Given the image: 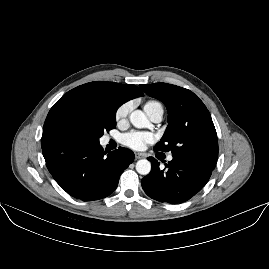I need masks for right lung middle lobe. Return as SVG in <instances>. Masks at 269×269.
Returning a JSON list of instances; mask_svg holds the SVG:
<instances>
[{
  "mask_svg": "<svg viewBox=\"0 0 269 269\" xmlns=\"http://www.w3.org/2000/svg\"><path fill=\"white\" fill-rule=\"evenodd\" d=\"M116 110L104 106H64L51 114L49 126L52 131L64 132L80 143H98L104 131L116 127Z\"/></svg>",
  "mask_w": 269,
  "mask_h": 269,
  "instance_id": "dd1d6c3e",
  "label": "right lung middle lobe"
}]
</instances>
